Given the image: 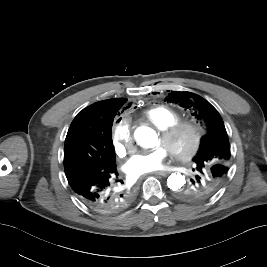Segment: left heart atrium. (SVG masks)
Wrapping results in <instances>:
<instances>
[{
    "mask_svg": "<svg viewBox=\"0 0 267 267\" xmlns=\"http://www.w3.org/2000/svg\"><path fill=\"white\" fill-rule=\"evenodd\" d=\"M168 151L164 146L134 154L125 164L124 169L131 178H138L163 167Z\"/></svg>",
    "mask_w": 267,
    "mask_h": 267,
    "instance_id": "1",
    "label": "left heart atrium"
}]
</instances>
